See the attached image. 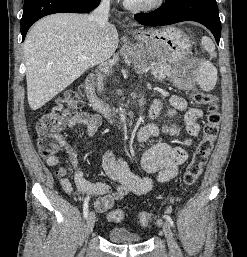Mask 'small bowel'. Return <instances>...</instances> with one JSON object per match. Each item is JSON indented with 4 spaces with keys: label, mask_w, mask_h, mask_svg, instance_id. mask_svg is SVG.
<instances>
[{
    "label": "small bowel",
    "mask_w": 247,
    "mask_h": 257,
    "mask_svg": "<svg viewBox=\"0 0 247 257\" xmlns=\"http://www.w3.org/2000/svg\"><path fill=\"white\" fill-rule=\"evenodd\" d=\"M171 108L167 114L174 115L179 111H184V121L187 132L190 136L196 137L199 134L198 120L202 117L203 112L197 108H187L186 102L178 97L172 96L170 98ZM162 111V103L160 100L154 101L150 109V116L156 119ZM70 128L77 126H85L88 134L93 137L96 135L100 120L97 116L86 112H79L74 114L67 121ZM179 129L175 125H162L156 123H149L142 126L137 131V140L139 142L146 141L153 137L160 135L178 136ZM61 149L64 150L71 162L74 173V181L78 191L87 197L99 196L94 202V209L98 213H103L109 210L115 201L121 200L128 193L137 195L146 194L151 191L153 183L150 178L139 177L130 171L127 163L117 158L112 151L104 154L102 160V169L104 174L112 181L117 182V187L112 190L110 186L104 183H91L84 179L83 173L79 169L78 157L73 147L63 138L60 137ZM191 145V139L186 138L182 141V146L172 147L168 143L159 142L149 149H147L141 160L143 169L152 174H156L159 182H167L173 179L178 172V167L183 164L187 157V151L184 147ZM46 162L50 167H57L56 174L60 180L63 190L72 194L74 191L73 184L67 177V168L60 165L58 156L53 155L46 158Z\"/></svg>",
    "instance_id": "small-bowel-1"
}]
</instances>
